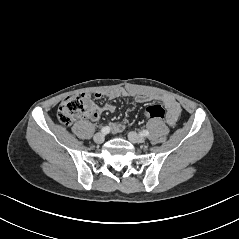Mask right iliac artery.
<instances>
[{
	"label": "right iliac artery",
	"mask_w": 239,
	"mask_h": 239,
	"mask_svg": "<svg viewBox=\"0 0 239 239\" xmlns=\"http://www.w3.org/2000/svg\"><path fill=\"white\" fill-rule=\"evenodd\" d=\"M101 132H102L103 134H108V133L110 132V127H108V126L103 127V128L101 129Z\"/></svg>",
	"instance_id": "1"
}]
</instances>
